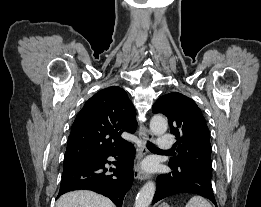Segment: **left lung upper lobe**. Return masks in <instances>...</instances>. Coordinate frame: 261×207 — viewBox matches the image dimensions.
I'll return each mask as SVG.
<instances>
[{
	"label": "left lung upper lobe",
	"mask_w": 261,
	"mask_h": 207,
	"mask_svg": "<svg viewBox=\"0 0 261 207\" xmlns=\"http://www.w3.org/2000/svg\"><path fill=\"white\" fill-rule=\"evenodd\" d=\"M152 112L168 117L170 131L177 138V154L168 165L191 168L212 177L210 132L196 103L172 92L161 96L152 106Z\"/></svg>",
	"instance_id": "1"
}]
</instances>
